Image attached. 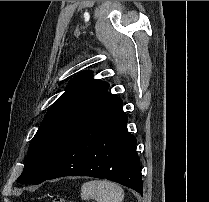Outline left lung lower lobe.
Masks as SVG:
<instances>
[{
  "label": "left lung lower lobe",
  "instance_id": "1",
  "mask_svg": "<svg viewBox=\"0 0 209 202\" xmlns=\"http://www.w3.org/2000/svg\"><path fill=\"white\" fill-rule=\"evenodd\" d=\"M120 98L92 114L67 144L46 180L64 176L106 178L143 195L136 138L128 133Z\"/></svg>",
  "mask_w": 209,
  "mask_h": 202
}]
</instances>
